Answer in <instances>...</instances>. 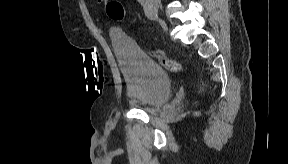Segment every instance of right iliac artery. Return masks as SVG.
<instances>
[{
  "mask_svg": "<svg viewBox=\"0 0 288 164\" xmlns=\"http://www.w3.org/2000/svg\"><path fill=\"white\" fill-rule=\"evenodd\" d=\"M146 15L149 19L151 20H156L157 19V11H154L151 9V7L148 6V9L146 11Z\"/></svg>",
  "mask_w": 288,
  "mask_h": 164,
  "instance_id": "right-iliac-artery-1",
  "label": "right iliac artery"
}]
</instances>
